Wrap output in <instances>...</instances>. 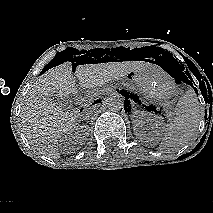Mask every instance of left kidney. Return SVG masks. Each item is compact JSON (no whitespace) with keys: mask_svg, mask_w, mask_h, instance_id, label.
Listing matches in <instances>:
<instances>
[{"mask_svg":"<svg viewBox=\"0 0 213 213\" xmlns=\"http://www.w3.org/2000/svg\"><path fill=\"white\" fill-rule=\"evenodd\" d=\"M133 129L135 134L139 139L150 141L154 136L158 135L162 129L163 122L162 120L151 113H146L143 111H135L133 113ZM149 128V134L146 133V125Z\"/></svg>","mask_w":213,"mask_h":213,"instance_id":"left-kidney-1","label":"left kidney"}]
</instances>
